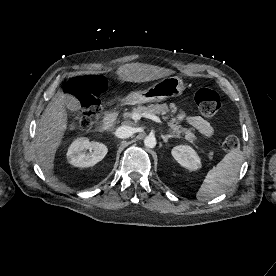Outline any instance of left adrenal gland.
<instances>
[{
	"label": "left adrenal gland",
	"instance_id": "left-adrenal-gland-1",
	"mask_svg": "<svg viewBox=\"0 0 276 276\" xmlns=\"http://www.w3.org/2000/svg\"><path fill=\"white\" fill-rule=\"evenodd\" d=\"M170 138H179V137L175 134L162 135V139L165 143H167L168 139Z\"/></svg>",
	"mask_w": 276,
	"mask_h": 276
}]
</instances>
